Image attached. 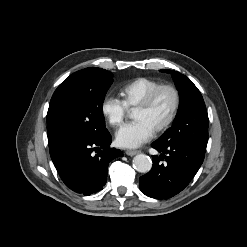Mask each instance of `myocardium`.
I'll return each mask as SVG.
<instances>
[{
    "label": "myocardium",
    "mask_w": 247,
    "mask_h": 247,
    "mask_svg": "<svg viewBox=\"0 0 247 247\" xmlns=\"http://www.w3.org/2000/svg\"><path fill=\"white\" fill-rule=\"evenodd\" d=\"M163 90H168L172 93L173 106H172V110L169 116L167 117V119L162 124H160L157 128H155L154 131L156 133H160L168 129L170 125L174 122L178 114V111L181 105V95H180L178 88L172 84H160L154 89H152L146 95V97L136 106V108L138 109H148L153 104L158 94Z\"/></svg>",
    "instance_id": "myocardium-1"
}]
</instances>
